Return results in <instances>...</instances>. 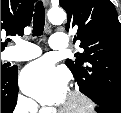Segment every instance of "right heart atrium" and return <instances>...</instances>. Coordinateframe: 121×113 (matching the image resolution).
I'll list each match as a JSON object with an SVG mask.
<instances>
[{
	"instance_id": "obj_1",
	"label": "right heart atrium",
	"mask_w": 121,
	"mask_h": 113,
	"mask_svg": "<svg viewBox=\"0 0 121 113\" xmlns=\"http://www.w3.org/2000/svg\"><path fill=\"white\" fill-rule=\"evenodd\" d=\"M21 102H22V105L25 108H27V109H32L33 108V104L29 100L22 98Z\"/></svg>"
}]
</instances>
